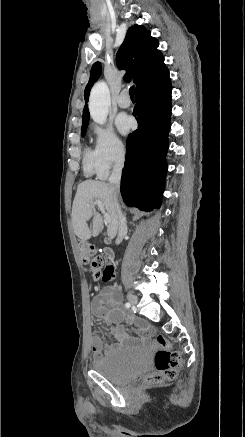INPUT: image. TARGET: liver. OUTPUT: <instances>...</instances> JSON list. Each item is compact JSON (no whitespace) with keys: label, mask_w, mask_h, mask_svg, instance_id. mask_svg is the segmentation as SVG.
<instances>
[{"label":"liver","mask_w":245,"mask_h":437,"mask_svg":"<svg viewBox=\"0 0 245 437\" xmlns=\"http://www.w3.org/2000/svg\"><path fill=\"white\" fill-rule=\"evenodd\" d=\"M118 197V196H117ZM102 202L104 209L110 216L108 235L114 238L118 232V217L114 206V191L110 184L100 181L87 180L79 184L72 206V223L77 237L86 241L91 236H98L103 228L102 216L94 211L93 200ZM93 216L92 230L87 222Z\"/></svg>","instance_id":"1"}]
</instances>
